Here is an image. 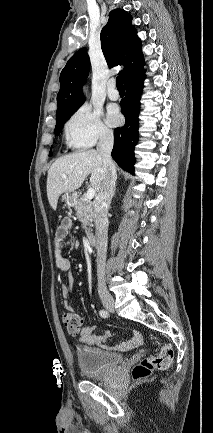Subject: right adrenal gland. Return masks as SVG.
Segmentation results:
<instances>
[{
	"label": "right adrenal gland",
	"instance_id": "2a0ac1e0",
	"mask_svg": "<svg viewBox=\"0 0 213 433\" xmlns=\"http://www.w3.org/2000/svg\"><path fill=\"white\" fill-rule=\"evenodd\" d=\"M115 191H116V186L114 187V190H113V196L115 195Z\"/></svg>",
	"mask_w": 213,
	"mask_h": 433
}]
</instances>
